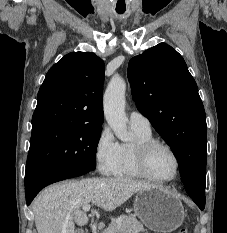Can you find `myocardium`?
I'll list each match as a JSON object with an SVG mask.
<instances>
[{
  "label": "myocardium",
  "mask_w": 227,
  "mask_h": 233,
  "mask_svg": "<svg viewBox=\"0 0 227 233\" xmlns=\"http://www.w3.org/2000/svg\"><path fill=\"white\" fill-rule=\"evenodd\" d=\"M158 148H164L168 150L175 160V173L171 178L163 179L155 176L149 168V158L152 152ZM134 158L137 169L142 174L143 177L159 182V183H169L177 179L180 174V159L176 151L168 144L161 142L159 140H151L145 142H139L134 147Z\"/></svg>",
  "instance_id": "1"
}]
</instances>
